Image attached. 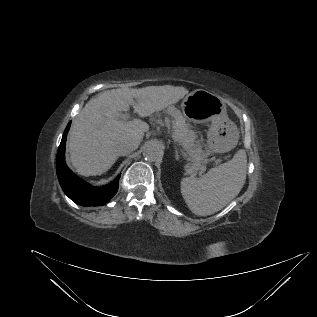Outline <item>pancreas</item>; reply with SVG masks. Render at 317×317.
I'll return each instance as SVG.
<instances>
[{
  "label": "pancreas",
  "instance_id": "obj_1",
  "mask_svg": "<svg viewBox=\"0 0 317 317\" xmlns=\"http://www.w3.org/2000/svg\"><path fill=\"white\" fill-rule=\"evenodd\" d=\"M166 112L173 118L171 121L173 139L187 152L189 160L192 166L196 167V170L204 169L202 163L207 154L202 150L201 141L197 140V134L191 129V124L174 107H169Z\"/></svg>",
  "mask_w": 317,
  "mask_h": 317
}]
</instances>
